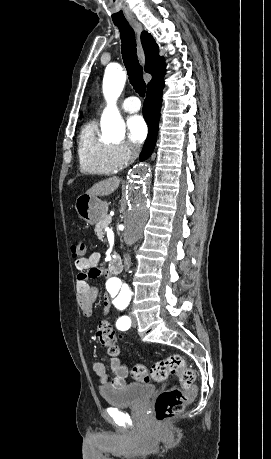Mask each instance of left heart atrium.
Returning a JSON list of instances; mask_svg holds the SVG:
<instances>
[{
  "instance_id": "left-heart-atrium-1",
  "label": "left heart atrium",
  "mask_w": 271,
  "mask_h": 459,
  "mask_svg": "<svg viewBox=\"0 0 271 459\" xmlns=\"http://www.w3.org/2000/svg\"><path fill=\"white\" fill-rule=\"evenodd\" d=\"M128 137L130 141L135 144H141L147 136V126L144 119L135 115L132 116L127 122Z\"/></svg>"
}]
</instances>
